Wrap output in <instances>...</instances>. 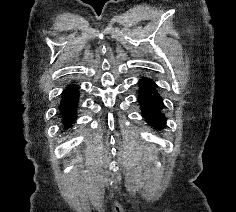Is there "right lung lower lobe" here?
Wrapping results in <instances>:
<instances>
[{
  "label": "right lung lower lobe",
  "mask_w": 236,
  "mask_h": 212,
  "mask_svg": "<svg viewBox=\"0 0 236 212\" xmlns=\"http://www.w3.org/2000/svg\"><path fill=\"white\" fill-rule=\"evenodd\" d=\"M79 96V88L74 83L69 84L62 92L58 109L65 130L70 128L77 118Z\"/></svg>",
  "instance_id": "right-lung-lower-lobe-1"
}]
</instances>
